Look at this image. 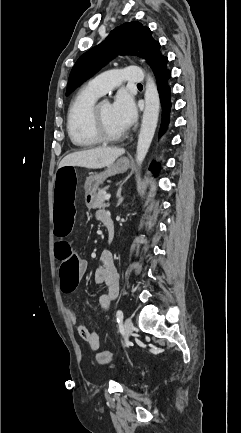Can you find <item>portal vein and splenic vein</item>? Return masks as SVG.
Wrapping results in <instances>:
<instances>
[{
	"label": "portal vein and splenic vein",
	"mask_w": 241,
	"mask_h": 433,
	"mask_svg": "<svg viewBox=\"0 0 241 433\" xmlns=\"http://www.w3.org/2000/svg\"><path fill=\"white\" fill-rule=\"evenodd\" d=\"M110 197H111V195L110 194H107L106 196H105V200H109L110 199Z\"/></svg>",
	"instance_id": "1"
}]
</instances>
